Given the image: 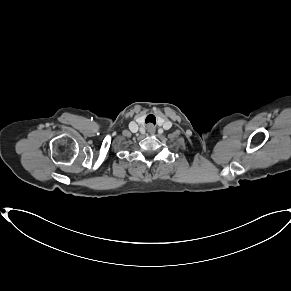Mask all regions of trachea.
<instances>
[{"mask_svg": "<svg viewBox=\"0 0 291 291\" xmlns=\"http://www.w3.org/2000/svg\"><path fill=\"white\" fill-rule=\"evenodd\" d=\"M152 122L155 124V116L154 115H148L146 118V123Z\"/></svg>", "mask_w": 291, "mask_h": 291, "instance_id": "1", "label": "trachea"}]
</instances>
